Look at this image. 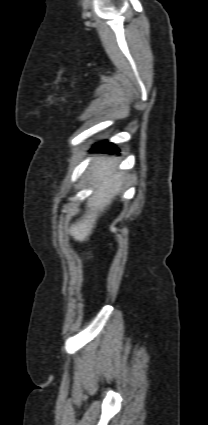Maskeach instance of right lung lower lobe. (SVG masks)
<instances>
[{
    "label": "right lung lower lobe",
    "instance_id": "obj_1",
    "mask_svg": "<svg viewBox=\"0 0 208 425\" xmlns=\"http://www.w3.org/2000/svg\"><path fill=\"white\" fill-rule=\"evenodd\" d=\"M119 150L115 148V146L112 143L109 142H103L98 143L95 145V147L91 150V152H118Z\"/></svg>",
    "mask_w": 208,
    "mask_h": 425
}]
</instances>
